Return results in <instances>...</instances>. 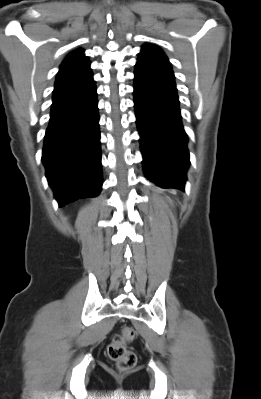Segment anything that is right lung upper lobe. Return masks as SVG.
Returning <instances> with one entry per match:
<instances>
[{"label":"right lung upper lobe","instance_id":"1","mask_svg":"<svg viewBox=\"0 0 261 399\" xmlns=\"http://www.w3.org/2000/svg\"><path fill=\"white\" fill-rule=\"evenodd\" d=\"M83 50L72 52L60 66L55 87L64 86L80 80L91 73L90 62Z\"/></svg>","mask_w":261,"mask_h":399}]
</instances>
